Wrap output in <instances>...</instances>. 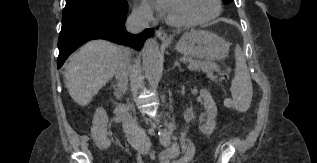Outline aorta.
Instances as JSON below:
<instances>
[{"label":"aorta","instance_id":"obj_1","mask_svg":"<svg viewBox=\"0 0 317 163\" xmlns=\"http://www.w3.org/2000/svg\"><path fill=\"white\" fill-rule=\"evenodd\" d=\"M143 67L150 86L158 88L162 74V57L156 39L148 38L142 50Z\"/></svg>","mask_w":317,"mask_h":163}]
</instances>
